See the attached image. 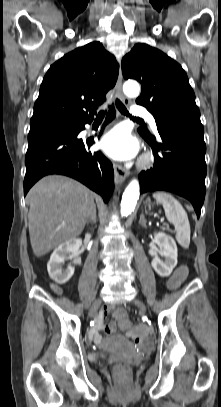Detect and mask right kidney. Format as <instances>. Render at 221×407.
<instances>
[{
    "instance_id": "1",
    "label": "right kidney",
    "mask_w": 221,
    "mask_h": 407,
    "mask_svg": "<svg viewBox=\"0 0 221 407\" xmlns=\"http://www.w3.org/2000/svg\"><path fill=\"white\" fill-rule=\"evenodd\" d=\"M81 244V239H72L62 243L53 251L47 264V270L50 278L57 284H65L73 276L75 268L68 266L66 270H62L61 264L65 262L70 253L73 258L77 256Z\"/></svg>"
}]
</instances>
